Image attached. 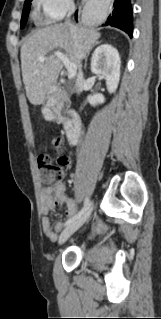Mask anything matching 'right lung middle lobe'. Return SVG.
<instances>
[{"label": "right lung middle lobe", "instance_id": "1", "mask_svg": "<svg viewBox=\"0 0 161 319\" xmlns=\"http://www.w3.org/2000/svg\"><path fill=\"white\" fill-rule=\"evenodd\" d=\"M31 1L32 0L25 1L23 13H22V18H21V28H23L25 23H26V19H27V16L29 14V10H30Z\"/></svg>", "mask_w": 161, "mask_h": 319}]
</instances>
